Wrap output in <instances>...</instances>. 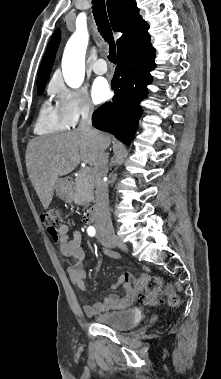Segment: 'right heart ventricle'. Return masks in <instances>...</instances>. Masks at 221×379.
<instances>
[{"mask_svg":"<svg viewBox=\"0 0 221 379\" xmlns=\"http://www.w3.org/2000/svg\"><path fill=\"white\" fill-rule=\"evenodd\" d=\"M70 127L57 106H53L50 100L42 102L34 130L41 135L53 134L67 130Z\"/></svg>","mask_w":221,"mask_h":379,"instance_id":"e07e8e85","label":"right heart ventricle"}]
</instances>
